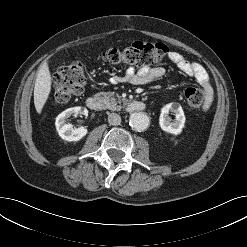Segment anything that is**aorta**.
Wrapping results in <instances>:
<instances>
[{
    "instance_id": "1",
    "label": "aorta",
    "mask_w": 247,
    "mask_h": 247,
    "mask_svg": "<svg viewBox=\"0 0 247 247\" xmlns=\"http://www.w3.org/2000/svg\"><path fill=\"white\" fill-rule=\"evenodd\" d=\"M129 124L135 131H143L149 125V118L142 112H136L130 116Z\"/></svg>"
}]
</instances>
